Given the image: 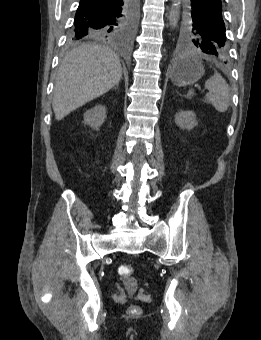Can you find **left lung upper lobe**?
Here are the masks:
<instances>
[{
  "mask_svg": "<svg viewBox=\"0 0 261 340\" xmlns=\"http://www.w3.org/2000/svg\"><path fill=\"white\" fill-rule=\"evenodd\" d=\"M178 41L186 48H197L221 60L228 58V41L223 12L214 17L195 14L189 0H181Z\"/></svg>",
  "mask_w": 261,
  "mask_h": 340,
  "instance_id": "left-lung-upper-lobe-1",
  "label": "left lung upper lobe"
}]
</instances>
